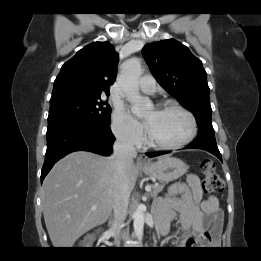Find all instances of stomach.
Returning a JSON list of instances; mask_svg holds the SVG:
<instances>
[{"label":"stomach","mask_w":261,"mask_h":261,"mask_svg":"<svg viewBox=\"0 0 261 261\" xmlns=\"http://www.w3.org/2000/svg\"><path fill=\"white\" fill-rule=\"evenodd\" d=\"M187 169V165L181 159L166 155L143 167L142 171L161 182H171L184 175Z\"/></svg>","instance_id":"stomach-1"}]
</instances>
